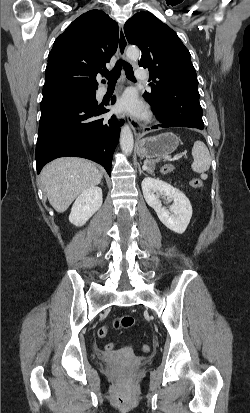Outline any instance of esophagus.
Returning <instances> with one entry per match:
<instances>
[{
	"label": "esophagus",
	"mask_w": 250,
	"mask_h": 413,
	"mask_svg": "<svg viewBox=\"0 0 250 413\" xmlns=\"http://www.w3.org/2000/svg\"><path fill=\"white\" fill-rule=\"evenodd\" d=\"M128 42L124 33L123 26H120V32H119V43H118V54L120 55L121 59L123 61L126 60L125 52L127 48ZM121 117V116H120ZM127 121L129 125L131 126L132 130L134 131V134L137 136H140L143 134L144 130L141 127V125L137 122L136 119L132 117H127Z\"/></svg>",
	"instance_id": "esophagus-1"
}]
</instances>
